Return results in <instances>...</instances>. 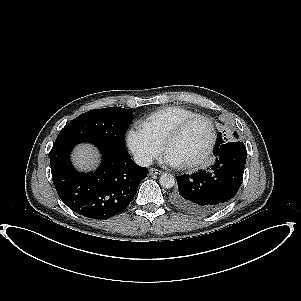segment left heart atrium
Instances as JSON below:
<instances>
[{"label":"left heart atrium","instance_id":"left-heart-atrium-1","mask_svg":"<svg viewBox=\"0 0 301 301\" xmlns=\"http://www.w3.org/2000/svg\"><path fill=\"white\" fill-rule=\"evenodd\" d=\"M163 162L175 168H181L186 165V163L181 158L168 151L165 153L163 157Z\"/></svg>","mask_w":301,"mask_h":301}]
</instances>
